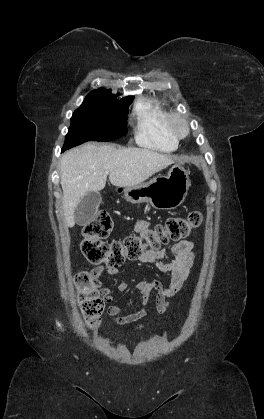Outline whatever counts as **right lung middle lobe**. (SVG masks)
Listing matches in <instances>:
<instances>
[{
	"label": "right lung middle lobe",
	"mask_w": 264,
	"mask_h": 419,
	"mask_svg": "<svg viewBox=\"0 0 264 419\" xmlns=\"http://www.w3.org/2000/svg\"><path fill=\"white\" fill-rule=\"evenodd\" d=\"M129 100L116 101L114 97L88 95L71 118L62 151L87 141H110L127 133Z\"/></svg>",
	"instance_id": "right-lung-middle-lobe-1"
}]
</instances>
